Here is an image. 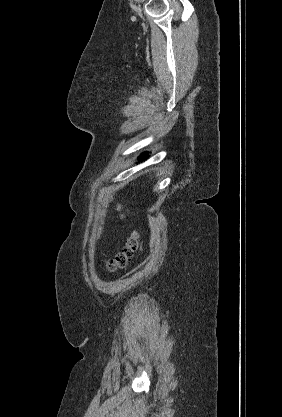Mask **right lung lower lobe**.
<instances>
[{
	"instance_id": "1",
	"label": "right lung lower lobe",
	"mask_w": 282,
	"mask_h": 417,
	"mask_svg": "<svg viewBox=\"0 0 282 417\" xmlns=\"http://www.w3.org/2000/svg\"><path fill=\"white\" fill-rule=\"evenodd\" d=\"M148 157V152H145V153H143L139 158L141 159V160H143V159H145V158H147Z\"/></svg>"
}]
</instances>
